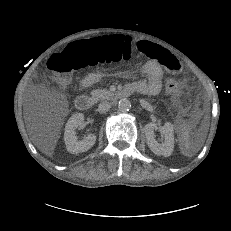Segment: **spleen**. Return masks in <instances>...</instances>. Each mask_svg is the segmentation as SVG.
I'll return each mask as SVG.
<instances>
[{"label":"spleen","mask_w":231,"mask_h":231,"mask_svg":"<svg viewBox=\"0 0 231 231\" xmlns=\"http://www.w3.org/2000/svg\"><path fill=\"white\" fill-rule=\"evenodd\" d=\"M189 126H182V138L184 142V150L188 151L189 150Z\"/></svg>","instance_id":"3e777b00"}]
</instances>
